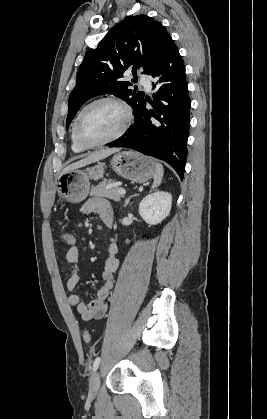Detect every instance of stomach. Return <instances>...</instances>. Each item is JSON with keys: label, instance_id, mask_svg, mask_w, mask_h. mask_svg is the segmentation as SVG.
Masks as SVG:
<instances>
[{"label": "stomach", "instance_id": "1", "mask_svg": "<svg viewBox=\"0 0 267 419\" xmlns=\"http://www.w3.org/2000/svg\"><path fill=\"white\" fill-rule=\"evenodd\" d=\"M110 164L118 175L132 182H146L155 173L154 161L133 151L118 152L112 157ZM105 169L106 164L98 162L85 170L73 169L61 174L57 182L60 201L69 203L83 201L90 190L89 180L101 179Z\"/></svg>", "mask_w": 267, "mask_h": 419}]
</instances>
